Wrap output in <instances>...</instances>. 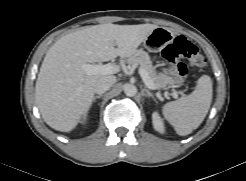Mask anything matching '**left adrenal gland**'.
<instances>
[{
	"label": "left adrenal gland",
	"instance_id": "1",
	"mask_svg": "<svg viewBox=\"0 0 246 181\" xmlns=\"http://www.w3.org/2000/svg\"><path fill=\"white\" fill-rule=\"evenodd\" d=\"M143 91L146 93L147 97H151L156 102L154 95L148 89L144 88Z\"/></svg>",
	"mask_w": 246,
	"mask_h": 181
}]
</instances>
